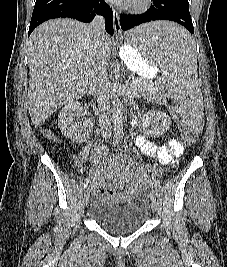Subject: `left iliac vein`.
Wrapping results in <instances>:
<instances>
[{
  "mask_svg": "<svg viewBox=\"0 0 227 267\" xmlns=\"http://www.w3.org/2000/svg\"><path fill=\"white\" fill-rule=\"evenodd\" d=\"M151 207L154 211L158 209V202L156 200L154 192H150Z\"/></svg>",
  "mask_w": 227,
  "mask_h": 267,
  "instance_id": "obj_1",
  "label": "left iliac vein"
}]
</instances>
